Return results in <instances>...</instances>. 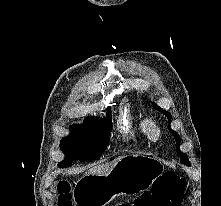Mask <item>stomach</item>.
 <instances>
[{"label":"stomach","mask_w":221,"mask_h":206,"mask_svg":"<svg viewBox=\"0 0 221 206\" xmlns=\"http://www.w3.org/2000/svg\"><path fill=\"white\" fill-rule=\"evenodd\" d=\"M160 159L144 155L122 157L106 175L86 174L79 184L84 191L79 195V206H105L116 196L137 194L150 188L163 172Z\"/></svg>","instance_id":"0dacf381"}]
</instances>
